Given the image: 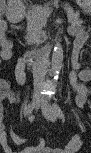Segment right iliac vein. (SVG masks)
Here are the masks:
<instances>
[{"label":"right iliac vein","mask_w":91,"mask_h":153,"mask_svg":"<svg viewBox=\"0 0 91 153\" xmlns=\"http://www.w3.org/2000/svg\"><path fill=\"white\" fill-rule=\"evenodd\" d=\"M41 102H42V98L40 94L38 93L34 94L32 102H31L32 109L38 108Z\"/></svg>","instance_id":"63e3f726"}]
</instances>
